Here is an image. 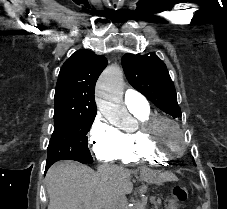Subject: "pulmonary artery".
<instances>
[{"mask_svg": "<svg viewBox=\"0 0 227 209\" xmlns=\"http://www.w3.org/2000/svg\"><path fill=\"white\" fill-rule=\"evenodd\" d=\"M145 95H140L137 88H128L125 91L124 103L128 108H145L148 105V100H145Z\"/></svg>", "mask_w": 227, "mask_h": 209, "instance_id": "obj_1", "label": "pulmonary artery"}]
</instances>
